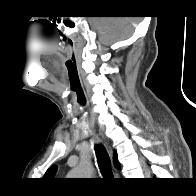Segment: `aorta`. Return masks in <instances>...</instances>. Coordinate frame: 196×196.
<instances>
[{
	"instance_id": "762f6f07",
	"label": "aorta",
	"mask_w": 196,
	"mask_h": 196,
	"mask_svg": "<svg viewBox=\"0 0 196 196\" xmlns=\"http://www.w3.org/2000/svg\"><path fill=\"white\" fill-rule=\"evenodd\" d=\"M91 166L88 162H81L77 168L71 171L70 176L83 178L90 174Z\"/></svg>"
}]
</instances>
